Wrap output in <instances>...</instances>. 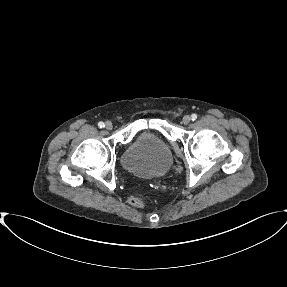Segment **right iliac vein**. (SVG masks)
Listing matches in <instances>:
<instances>
[{
  "label": "right iliac vein",
  "mask_w": 287,
  "mask_h": 287,
  "mask_svg": "<svg viewBox=\"0 0 287 287\" xmlns=\"http://www.w3.org/2000/svg\"><path fill=\"white\" fill-rule=\"evenodd\" d=\"M105 128H106L107 130H111V129L113 128L112 123H111L110 121H107V122L105 123Z\"/></svg>",
  "instance_id": "1"
}]
</instances>
